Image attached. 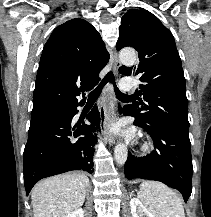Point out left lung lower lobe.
I'll return each instance as SVG.
<instances>
[{"mask_svg": "<svg viewBox=\"0 0 211 217\" xmlns=\"http://www.w3.org/2000/svg\"><path fill=\"white\" fill-rule=\"evenodd\" d=\"M122 113L132 116L127 106ZM134 124L147 131L156 149L146 157L139 158L128 153L124 167L126 178L160 181L179 190L187 202L192 192L193 173L189 134L165 125L144 126L136 120Z\"/></svg>", "mask_w": 211, "mask_h": 217, "instance_id": "0a47b994", "label": "left lung lower lobe"}]
</instances>
